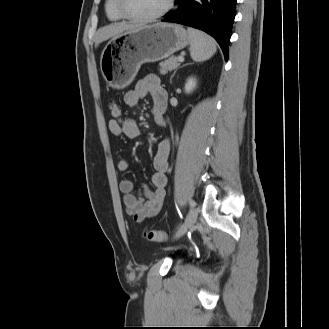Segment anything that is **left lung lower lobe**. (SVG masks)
Segmentation results:
<instances>
[{"instance_id":"obj_1","label":"left lung lower lobe","mask_w":329,"mask_h":329,"mask_svg":"<svg viewBox=\"0 0 329 329\" xmlns=\"http://www.w3.org/2000/svg\"><path fill=\"white\" fill-rule=\"evenodd\" d=\"M178 4L177 10L167 13L162 21L205 31L216 39L227 60L236 0H178Z\"/></svg>"}]
</instances>
